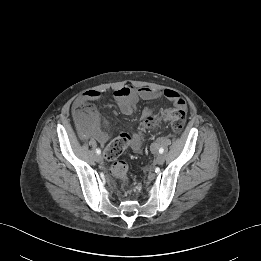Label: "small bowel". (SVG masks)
Returning a JSON list of instances; mask_svg holds the SVG:
<instances>
[{
	"instance_id": "obj_1",
	"label": "small bowel",
	"mask_w": 261,
	"mask_h": 261,
	"mask_svg": "<svg viewBox=\"0 0 261 261\" xmlns=\"http://www.w3.org/2000/svg\"><path fill=\"white\" fill-rule=\"evenodd\" d=\"M101 93L96 90H90L84 94L75 103L76 108L86 107L89 101L98 100ZM115 100L120 111L125 115L132 114L140 100H157L162 97L173 102L176 108L185 109L186 103L182 96L172 89H154L148 87L136 88L131 85H125L114 92ZM151 109L146 108L143 115L150 113ZM81 132L86 138H93L98 142L105 144L111 139V133L108 129V122L103 115L96 109L86 110L81 117ZM143 135L139 133L132 134L131 148L138 151L142 147Z\"/></svg>"
}]
</instances>
